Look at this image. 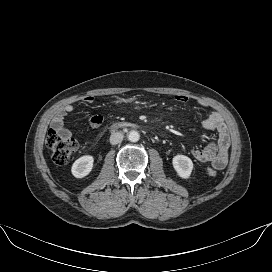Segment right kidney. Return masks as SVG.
I'll use <instances>...</instances> for the list:
<instances>
[{
	"instance_id": "1",
	"label": "right kidney",
	"mask_w": 272,
	"mask_h": 272,
	"mask_svg": "<svg viewBox=\"0 0 272 272\" xmlns=\"http://www.w3.org/2000/svg\"><path fill=\"white\" fill-rule=\"evenodd\" d=\"M94 158L91 155H84L78 158L72 165L71 172L76 178L87 176L93 168Z\"/></svg>"
}]
</instances>
